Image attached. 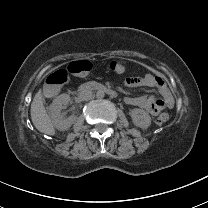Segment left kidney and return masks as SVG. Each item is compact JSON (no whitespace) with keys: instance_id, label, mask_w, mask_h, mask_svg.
I'll return each instance as SVG.
<instances>
[{"instance_id":"1","label":"left kidney","mask_w":208,"mask_h":208,"mask_svg":"<svg viewBox=\"0 0 208 208\" xmlns=\"http://www.w3.org/2000/svg\"><path fill=\"white\" fill-rule=\"evenodd\" d=\"M130 115L132 117L134 125L137 127L146 129L151 124L150 115L143 109L135 108L131 110Z\"/></svg>"}]
</instances>
